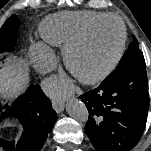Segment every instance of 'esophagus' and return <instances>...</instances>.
Listing matches in <instances>:
<instances>
[{
    "label": "esophagus",
    "mask_w": 151,
    "mask_h": 151,
    "mask_svg": "<svg viewBox=\"0 0 151 151\" xmlns=\"http://www.w3.org/2000/svg\"><path fill=\"white\" fill-rule=\"evenodd\" d=\"M52 105L57 113H60L64 110V102L61 99H52Z\"/></svg>",
    "instance_id": "1"
}]
</instances>
